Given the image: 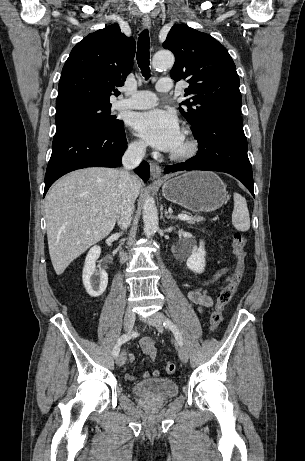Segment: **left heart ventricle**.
<instances>
[{
	"label": "left heart ventricle",
	"instance_id": "left-heart-ventricle-1",
	"mask_svg": "<svg viewBox=\"0 0 305 461\" xmlns=\"http://www.w3.org/2000/svg\"><path fill=\"white\" fill-rule=\"evenodd\" d=\"M184 147H185V141H184V138L182 137V139H181L179 145L176 147V149L174 150V152L180 151V150H182Z\"/></svg>",
	"mask_w": 305,
	"mask_h": 461
}]
</instances>
